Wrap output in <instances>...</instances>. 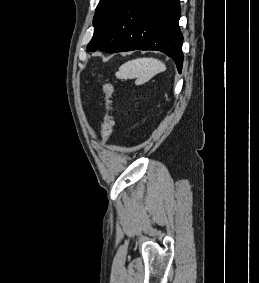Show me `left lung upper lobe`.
<instances>
[{"instance_id": "1", "label": "left lung upper lobe", "mask_w": 259, "mask_h": 283, "mask_svg": "<svg viewBox=\"0 0 259 283\" xmlns=\"http://www.w3.org/2000/svg\"><path fill=\"white\" fill-rule=\"evenodd\" d=\"M124 1L125 0L99 1L93 19L94 35L88 46L96 43L104 35Z\"/></svg>"}]
</instances>
